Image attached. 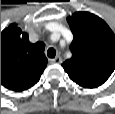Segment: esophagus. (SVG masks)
<instances>
[{"label": "esophagus", "mask_w": 115, "mask_h": 114, "mask_svg": "<svg viewBox=\"0 0 115 114\" xmlns=\"http://www.w3.org/2000/svg\"><path fill=\"white\" fill-rule=\"evenodd\" d=\"M51 62L55 64H60L62 62V59L60 56H57L54 59H51Z\"/></svg>", "instance_id": "esophagus-1"}]
</instances>
